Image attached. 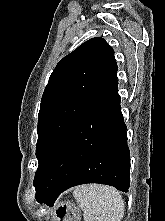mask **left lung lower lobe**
<instances>
[{"label":"left lung lower lobe","instance_id":"1","mask_svg":"<svg viewBox=\"0 0 165 221\" xmlns=\"http://www.w3.org/2000/svg\"><path fill=\"white\" fill-rule=\"evenodd\" d=\"M85 183L127 192L130 152L118 81L66 133L36 186V199L52 207L64 190Z\"/></svg>","mask_w":165,"mask_h":221}]
</instances>
